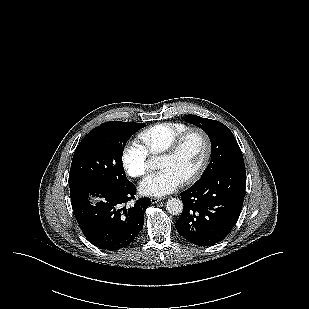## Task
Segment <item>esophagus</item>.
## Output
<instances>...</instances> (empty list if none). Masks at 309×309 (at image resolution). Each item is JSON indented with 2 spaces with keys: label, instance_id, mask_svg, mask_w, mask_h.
Wrapping results in <instances>:
<instances>
[{
  "label": "esophagus",
  "instance_id": "1",
  "mask_svg": "<svg viewBox=\"0 0 309 309\" xmlns=\"http://www.w3.org/2000/svg\"><path fill=\"white\" fill-rule=\"evenodd\" d=\"M162 200V198H157V197H152L151 198V202L153 203V204H155V203H157V202H159V201H161Z\"/></svg>",
  "mask_w": 309,
  "mask_h": 309
}]
</instances>
